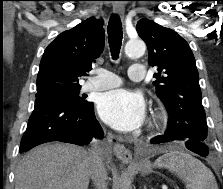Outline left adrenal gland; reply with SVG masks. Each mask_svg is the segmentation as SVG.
<instances>
[{"mask_svg":"<svg viewBox=\"0 0 223 189\" xmlns=\"http://www.w3.org/2000/svg\"><path fill=\"white\" fill-rule=\"evenodd\" d=\"M144 189H147L146 185H144Z\"/></svg>","mask_w":223,"mask_h":189,"instance_id":"1","label":"left adrenal gland"}]
</instances>
